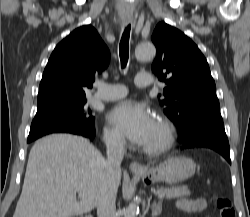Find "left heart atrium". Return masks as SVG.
Instances as JSON below:
<instances>
[{"mask_svg":"<svg viewBox=\"0 0 250 217\" xmlns=\"http://www.w3.org/2000/svg\"><path fill=\"white\" fill-rule=\"evenodd\" d=\"M109 121L132 142L144 145L154 125L148 109L132 100L117 104L108 114Z\"/></svg>","mask_w":250,"mask_h":217,"instance_id":"left-heart-atrium-1","label":"left heart atrium"}]
</instances>
